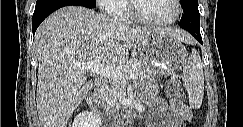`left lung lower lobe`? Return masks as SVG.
Listing matches in <instances>:
<instances>
[{"instance_id":"0a47b994","label":"left lung lower lobe","mask_w":243,"mask_h":127,"mask_svg":"<svg viewBox=\"0 0 243 127\" xmlns=\"http://www.w3.org/2000/svg\"><path fill=\"white\" fill-rule=\"evenodd\" d=\"M184 14L181 17L179 26L192 34L201 44L202 38L200 34V14L198 7L184 9Z\"/></svg>"}]
</instances>
